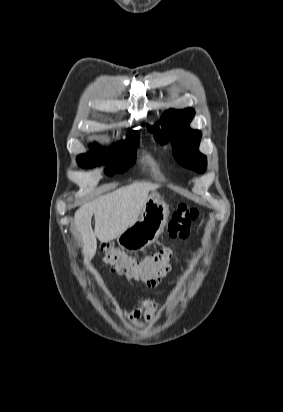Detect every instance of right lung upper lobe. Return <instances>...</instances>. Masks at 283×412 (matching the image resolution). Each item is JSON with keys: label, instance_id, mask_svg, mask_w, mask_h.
Returning a JSON list of instances; mask_svg holds the SVG:
<instances>
[{"label": "right lung upper lobe", "instance_id": "cb5924a9", "mask_svg": "<svg viewBox=\"0 0 283 412\" xmlns=\"http://www.w3.org/2000/svg\"><path fill=\"white\" fill-rule=\"evenodd\" d=\"M135 135H138L137 131H131L129 137H132V136H135Z\"/></svg>", "mask_w": 283, "mask_h": 412}]
</instances>
